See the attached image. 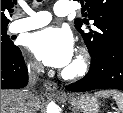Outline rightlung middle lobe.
I'll list each match as a JSON object with an SVG mask.
<instances>
[{"label":"right lung middle lobe","instance_id":"right-lung-middle-lobe-1","mask_svg":"<svg viewBox=\"0 0 123 113\" xmlns=\"http://www.w3.org/2000/svg\"><path fill=\"white\" fill-rule=\"evenodd\" d=\"M18 47L13 45V42L7 35V27L1 28V52L10 53L17 50Z\"/></svg>","mask_w":123,"mask_h":113}]
</instances>
